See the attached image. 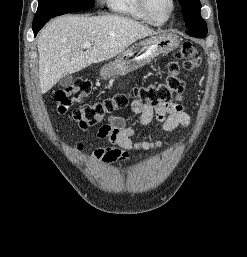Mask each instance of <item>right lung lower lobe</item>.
<instances>
[{"instance_id":"right-lung-lower-lobe-1","label":"right lung lower lobe","mask_w":247,"mask_h":257,"mask_svg":"<svg viewBox=\"0 0 247 257\" xmlns=\"http://www.w3.org/2000/svg\"><path fill=\"white\" fill-rule=\"evenodd\" d=\"M49 19H51V18H49ZM49 19L43 20V21L38 22V23H33L34 36L37 35L38 31L45 25L46 22L49 21Z\"/></svg>"}]
</instances>
